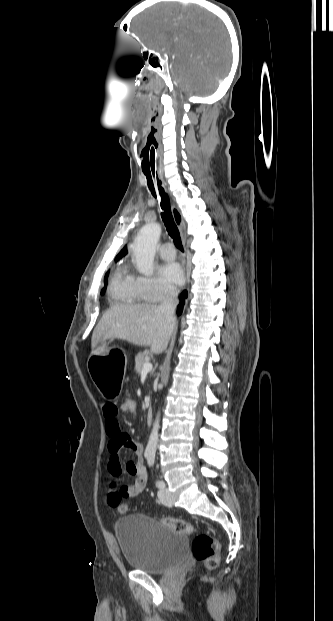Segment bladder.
Wrapping results in <instances>:
<instances>
[{"mask_svg": "<svg viewBox=\"0 0 333 621\" xmlns=\"http://www.w3.org/2000/svg\"><path fill=\"white\" fill-rule=\"evenodd\" d=\"M115 533L126 564L135 571L165 574L188 554L187 535L143 514L118 519Z\"/></svg>", "mask_w": 333, "mask_h": 621, "instance_id": "bladder-1", "label": "bladder"}]
</instances>
